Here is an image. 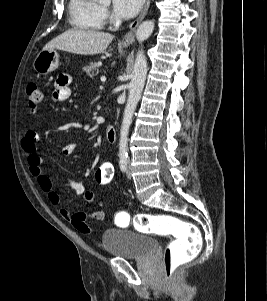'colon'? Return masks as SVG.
<instances>
[{
	"instance_id": "obj_1",
	"label": "colon",
	"mask_w": 267,
	"mask_h": 301,
	"mask_svg": "<svg viewBox=\"0 0 267 301\" xmlns=\"http://www.w3.org/2000/svg\"><path fill=\"white\" fill-rule=\"evenodd\" d=\"M27 93L32 105L43 101V93L36 84H29ZM113 177L114 168L110 162L101 163L95 172V182L103 187L109 186ZM115 221L122 226L132 222L134 228L141 233L173 237L163 257L165 277L168 280L180 266L195 258L200 251L201 236L198 228L175 216L138 213L131 218L128 212L119 211L115 214Z\"/></svg>"
}]
</instances>
